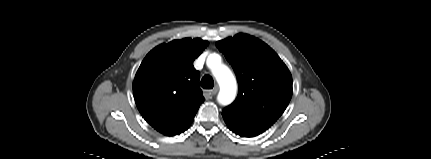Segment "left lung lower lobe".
Wrapping results in <instances>:
<instances>
[{
    "label": "left lung lower lobe",
    "instance_id": "0a47b994",
    "mask_svg": "<svg viewBox=\"0 0 431 159\" xmlns=\"http://www.w3.org/2000/svg\"><path fill=\"white\" fill-rule=\"evenodd\" d=\"M230 130H232L235 134L240 135L242 137H254L261 133L263 130L260 129H250V128H241L232 122L225 121Z\"/></svg>",
    "mask_w": 431,
    "mask_h": 159
}]
</instances>
